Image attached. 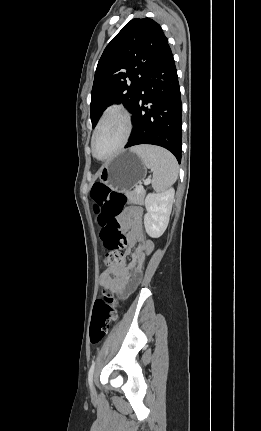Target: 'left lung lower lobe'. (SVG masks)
I'll list each match as a JSON object with an SVG mask.
<instances>
[{
    "label": "left lung lower lobe",
    "mask_w": 261,
    "mask_h": 431,
    "mask_svg": "<svg viewBox=\"0 0 261 431\" xmlns=\"http://www.w3.org/2000/svg\"><path fill=\"white\" fill-rule=\"evenodd\" d=\"M131 112L133 130L125 148L139 144L158 145L172 152L180 163L181 94L169 45L149 68Z\"/></svg>",
    "instance_id": "0a47b994"
}]
</instances>
